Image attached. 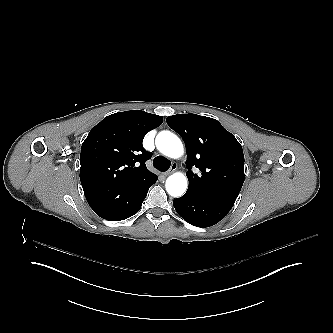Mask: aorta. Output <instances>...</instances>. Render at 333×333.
<instances>
[{
	"label": "aorta",
	"instance_id": "1",
	"mask_svg": "<svg viewBox=\"0 0 333 333\" xmlns=\"http://www.w3.org/2000/svg\"><path fill=\"white\" fill-rule=\"evenodd\" d=\"M163 136V132L159 133L156 139L158 150L171 159H180L184 156V146L181 140L173 133H165L159 140L158 137ZM188 187V180L182 172H175L166 180V190L171 196H182Z\"/></svg>",
	"mask_w": 333,
	"mask_h": 333
}]
</instances>
